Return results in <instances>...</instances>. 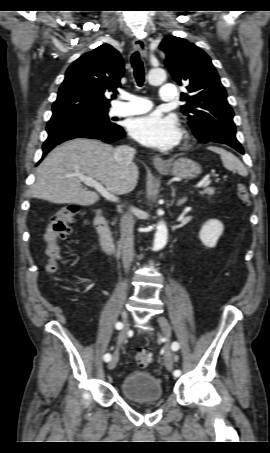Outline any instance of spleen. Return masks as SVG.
<instances>
[{
    "label": "spleen",
    "mask_w": 270,
    "mask_h": 453,
    "mask_svg": "<svg viewBox=\"0 0 270 453\" xmlns=\"http://www.w3.org/2000/svg\"><path fill=\"white\" fill-rule=\"evenodd\" d=\"M209 150L220 155V158L223 162V166L227 170H230V171L235 170L241 176H247V169L242 164V162L231 152H228L227 150H224L223 148L214 147V146L209 147Z\"/></svg>",
    "instance_id": "3e777b00"
}]
</instances>
